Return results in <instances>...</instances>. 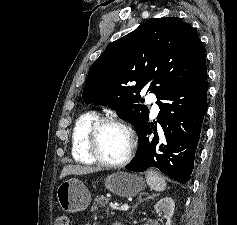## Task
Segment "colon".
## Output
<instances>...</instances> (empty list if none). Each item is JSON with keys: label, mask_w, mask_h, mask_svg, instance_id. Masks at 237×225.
<instances>
[{"label": "colon", "mask_w": 237, "mask_h": 225, "mask_svg": "<svg viewBox=\"0 0 237 225\" xmlns=\"http://www.w3.org/2000/svg\"><path fill=\"white\" fill-rule=\"evenodd\" d=\"M55 225H70L69 218L66 215H60L57 217Z\"/></svg>", "instance_id": "5ec220e1"}]
</instances>
